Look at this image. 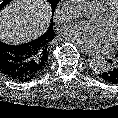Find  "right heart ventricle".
I'll use <instances>...</instances> for the list:
<instances>
[{"instance_id": "right-heart-ventricle-1", "label": "right heart ventricle", "mask_w": 118, "mask_h": 118, "mask_svg": "<svg viewBox=\"0 0 118 118\" xmlns=\"http://www.w3.org/2000/svg\"><path fill=\"white\" fill-rule=\"evenodd\" d=\"M92 2L99 11H103L118 3V0H92Z\"/></svg>"}]
</instances>
